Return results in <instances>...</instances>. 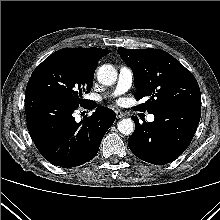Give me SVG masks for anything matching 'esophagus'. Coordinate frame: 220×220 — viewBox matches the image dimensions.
<instances>
[{"instance_id": "34e87169", "label": "esophagus", "mask_w": 220, "mask_h": 220, "mask_svg": "<svg viewBox=\"0 0 220 220\" xmlns=\"http://www.w3.org/2000/svg\"><path fill=\"white\" fill-rule=\"evenodd\" d=\"M125 116V113L124 112H122V111H120V110H117L116 111V117L117 118H122V117H124Z\"/></svg>"}]
</instances>
